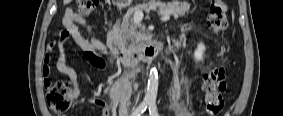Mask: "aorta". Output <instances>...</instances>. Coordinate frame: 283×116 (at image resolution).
<instances>
[{
  "label": "aorta",
  "mask_w": 283,
  "mask_h": 116,
  "mask_svg": "<svg viewBox=\"0 0 283 116\" xmlns=\"http://www.w3.org/2000/svg\"><path fill=\"white\" fill-rule=\"evenodd\" d=\"M158 92V72L157 69L151 68L148 78L147 90L145 93V101L148 103H155Z\"/></svg>",
  "instance_id": "1"
}]
</instances>
